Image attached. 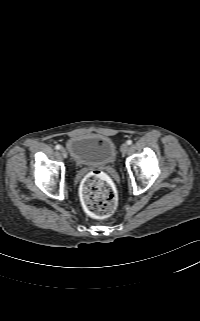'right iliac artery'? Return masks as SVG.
I'll use <instances>...</instances> for the list:
<instances>
[{"label": "right iliac artery", "mask_w": 200, "mask_h": 321, "mask_svg": "<svg viewBox=\"0 0 200 321\" xmlns=\"http://www.w3.org/2000/svg\"><path fill=\"white\" fill-rule=\"evenodd\" d=\"M55 148H56L57 150H60V149H61V146H60V145H56Z\"/></svg>", "instance_id": "82829eb1"}]
</instances>
